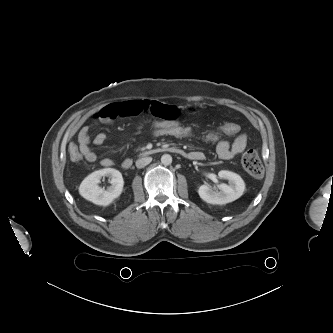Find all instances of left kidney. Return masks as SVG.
Here are the masks:
<instances>
[{
	"mask_svg": "<svg viewBox=\"0 0 333 333\" xmlns=\"http://www.w3.org/2000/svg\"><path fill=\"white\" fill-rule=\"evenodd\" d=\"M218 176L228 180V184L222 183L216 190L209 185H201L198 188V194L202 200L210 204L223 205L240 198L245 190L243 179L236 173L221 170Z\"/></svg>",
	"mask_w": 333,
	"mask_h": 333,
	"instance_id": "1",
	"label": "left kidney"
}]
</instances>
